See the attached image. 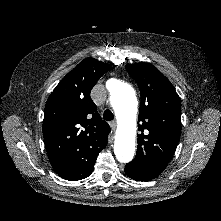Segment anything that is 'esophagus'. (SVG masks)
Instances as JSON below:
<instances>
[{"instance_id":"34e87169","label":"esophagus","mask_w":221,"mask_h":221,"mask_svg":"<svg viewBox=\"0 0 221 221\" xmlns=\"http://www.w3.org/2000/svg\"><path fill=\"white\" fill-rule=\"evenodd\" d=\"M110 126H111L112 130L115 131L116 126H117L116 121H111V122H110Z\"/></svg>"}]
</instances>
